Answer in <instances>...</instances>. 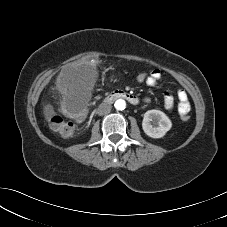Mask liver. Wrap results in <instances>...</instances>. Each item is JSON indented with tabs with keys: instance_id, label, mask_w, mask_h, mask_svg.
<instances>
[{
	"instance_id": "obj_1",
	"label": "liver",
	"mask_w": 227,
	"mask_h": 227,
	"mask_svg": "<svg viewBox=\"0 0 227 227\" xmlns=\"http://www.w3.org/2000/svg\"><path fill=\"white\" fill-rule=\"evenodd\" d=\"M90 69H95L94 64L87 62L68 66L57 78V89L63 94H68L84 78L86 71Z\"/></svg>"
}]
</instances>
